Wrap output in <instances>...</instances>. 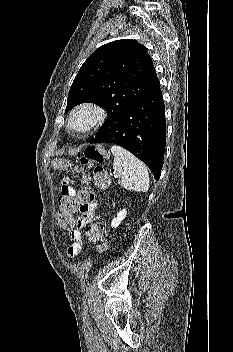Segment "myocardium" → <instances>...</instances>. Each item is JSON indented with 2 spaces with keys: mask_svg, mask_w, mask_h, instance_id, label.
I'll return each instance as SVG.
<instances>
[{
  "mask_svg": "<svg viewBox=\"0 0 233 352\" xmlns=\"http://www.w3.org/2000/svg\"><path fill=\"white\" fill-rule=\"evenodd\" d=\"M81 113L90 114V119L81 127L75 125L76 117ZM107 114L105 109L95 102H82L75 106L68 118L69 128L79 134H86L100 127L106 120Z\"/></svg>",
  "mask_w": 233,
  "mask_h": 352,
  "instance_id": "1",
  "label": "myocardium"
}]
</instances>
